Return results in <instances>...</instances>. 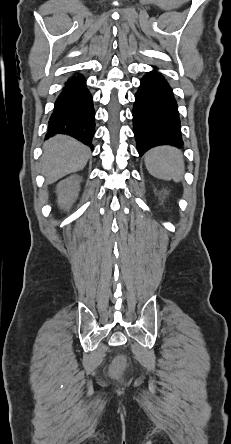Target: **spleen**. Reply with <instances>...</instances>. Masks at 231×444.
Wrapping results in <instances>:
<instances>
[{
	"instance_id": "1",
	"label": "spleen",
	"mask_w": 231,
	"mask_h": 444,
	"mask_svg": "<svg viewBox=\"0 0 231 444\" xmlns=\"http://www.w3.org/2000/svg\"><path fill=\"white\" fill-rule=\"evenodd\" d=\"M145 166L148 172L163 180H182L185 165L180 150L171 146H158L145 155Z\"/></svg>"
}]
</instances>
